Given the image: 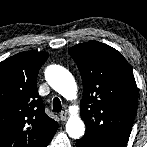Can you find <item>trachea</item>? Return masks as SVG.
I'll list each match as a JSON object with an SVG mask.
<instances>
[{"instance_id": "obj_1", "label": "trachea", "mask_w": 147, "mask_h": 147, "mask_svg": "<svg viewBox=\"0 0 147 147\" xmlns=\"http://www.w3.org/2000/svg\"><path fill=\"white\" fill-rule=\"evenodd\" d=\"M61 101L59 100V98L55 97L53 99V112L59 113L61 112Z\"/></svg>"}]
</instances>
